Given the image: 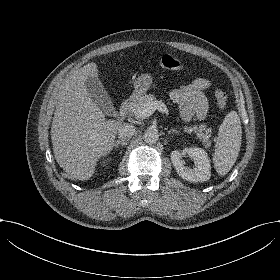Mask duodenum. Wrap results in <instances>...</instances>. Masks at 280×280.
I'll use <instances>...</instances> for the list:
<instances>
[{
	"label": "duodenum",
	"instance_id": "duodenum-1",
	"mask_svg": "<svg viewBox=\"0 0 280 280\" xmlns=\"http://www.w3.org/2000/svg\"><path fill=\"white\" fill-rule=\"evenodd\" d=\"M132 106V101L127 99L119 106V116L124 117Z\"/></svg>",
	"mask_w": 280,
	"mask_h": 280
}]
</instances>
